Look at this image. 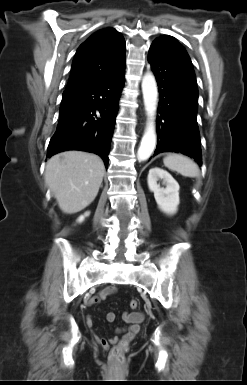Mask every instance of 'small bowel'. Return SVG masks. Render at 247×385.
<instances>
[{"instance_id":"1","label":"small bowel","mask_w":247,"mask_h":385,"mask_svg":"<svg viewBox=\"0 0 247 385\" xmlns=\"http://www.w3.org/2000/svg\"><path fill=\"white\" fill-rule=\"evenodd\" d=\"M116 291L115 288H106L102 290L98 295L93 296L92 298L89 299L88 304L89 305H95L100 303L102 300L107 298L109 295L113 294ZM105 318L109 322H113L116 318V314L114 312H108L105 315ZM123 318L125 322L127 323V326L124 329H118L117 333L124 332L123 339L125 340H130L132 339L135 335L138 334L140 330V323L144 319V314L141 312L137 313H129L125 312L123 314ZM86 324L90 327L93 324L92 319L89 317L86 320ZM97 342L103 347V348H108L111 343H115L118 340V337L115 335L109 339L101 337V336H96Z\"/></svg>"}]
</instances>
